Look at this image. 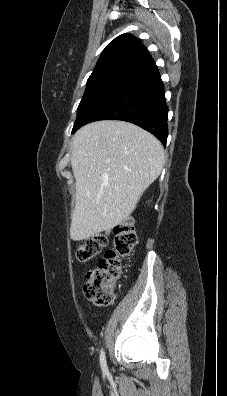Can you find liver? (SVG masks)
Returning <instances> with one entry per match:
<instances>
[{
	"label": "liver",
	"mask_w": 227,
	"mask_h": 396,
	"mask_svg": "<svg viewBox=\"0 0 227 396\" xmlns=\"http://www.w3.org/2000/svg\"><path fill=\"white\" fill-rule=\"evenodd\" d=\"M71 166L76 202L70 236L80 241L129 218L160 175L164 149L157 138L132 123L98 121L75 133Z\"/></svg>",
	"instance_id": "obj_1"
}]
</instances>
